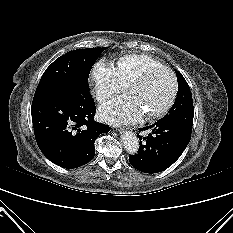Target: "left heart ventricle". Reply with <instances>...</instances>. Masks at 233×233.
<instances>
[{"label":"left heart ventricle","mask_w":233,"mask_h":233,"mask_svg":"<svg viewBox=\"0 0 233 233\" xmlns=\"http://www.w3.org/2000/svg\"><path fill=\"white\" fill-rule=\"evenodd\" d=\"M172 90V79L168 72L157 71L145 82L134 85L129 93L135 96L143 114L160 109L168 100Z\"/></svg>","instance_id":"left-heart-ventricle-1"}]
</instances>
